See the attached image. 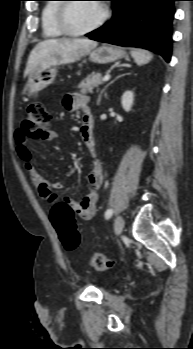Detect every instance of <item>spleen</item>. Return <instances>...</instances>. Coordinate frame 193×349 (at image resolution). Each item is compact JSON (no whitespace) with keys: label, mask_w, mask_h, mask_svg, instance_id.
I'll return each mask as SVG.
<instances>
[{"label":"spleen","mask_w":193,"mask_h":349,"mask_svg":"<svg viewBox=\"0 0 193 349\" xmlns=\"http://www.w3.org/2000/svg\"><path fill=\"white\" fill-rule=\"evenodd\" d=\"M132 57L137 65L141 66L151 61L153 55L145 50H132Z\"/></svg>","instance_id":"obj_1"}]
</instances>
